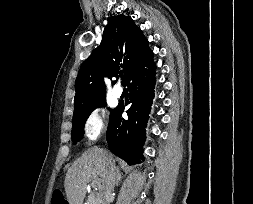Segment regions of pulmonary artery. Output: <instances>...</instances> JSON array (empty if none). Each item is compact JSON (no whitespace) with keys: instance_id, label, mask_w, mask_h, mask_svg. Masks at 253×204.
<instances>
[{"instance_id":"e3ab8cb5","label":"pulmonary artery","mask_w":253,"mask_h":204,"mask_svg":"<svg viewBox=\"0 0 253 204\" xmlns=\"http://www.w3.org/2000/svg\"><path fill=\"white\" fill-rule=\"evenodd\" d=\"M112 95L115 98H119L122 95V88L119 85H116L112 91Z\"/></svg>"}]
</instances>
